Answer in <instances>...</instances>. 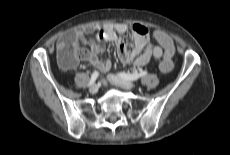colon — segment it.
Segmentation results:
<instances>
[{
    "label": "colon",
    "instance_id": "1",
    "mask_svg": "<svg viewBox=\"0 0 230 155\" xmlns=\"http://www.w3.org/2000/svg\"><path fill=\"white\" fill-rule=\"evenodd\" d=\"M171 51L166 52L164 60L160 63V69L163 72H169L172 69ZM90 54L86 49L74 48L71 43L60 44L57 49V61L64 69L72 68L77 61L89 58Z\"/></svg>",
    "mask_w": 230,
    "mask_h": 155
}]
</instances>
